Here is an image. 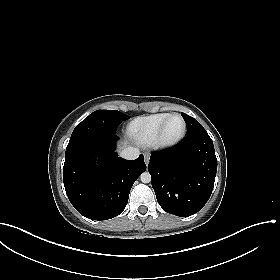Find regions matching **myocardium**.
Listing matches in <instances>:
<instances>
[{
  "mask_svg": "<svg viewBox=\"0 0 280 280\" xmlns=\"http://www.w3.org/2000/svg\"><path fill=\"white\" fill-rule=\"evenodd\" d=\"M173 117L181 118V120L183 122V129L177 137L167 140L164 137L165 130H166L168 122ZM186 132H187V121H186L185 117L180 113H172L162 122V124L158 130V134L153 141L154 146H155V148L160 149V150H166V149L173 148L182 141V139L186 135Z\"/></svg>",
  "mask_w": 280,
  "mask_h": 280,
  "instance_id": "1",
  "label": "myocardium"
}]
</instances>
